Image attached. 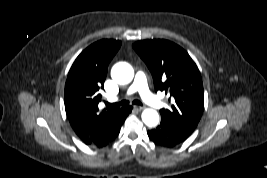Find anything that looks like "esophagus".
Listing matches in <instances>:
<instances>
[{
    "label": "esophagus",
    "mask_w": 267,
    "mask_h": 178,
    "mask_svg": "<svg viewBox=\"0 0 267 178\" xmlns=\"http://www.w3.org/2000/svg\"><path fill=\"white\" fill-rule=\"evenodd\" d=\"M145 107L143 106H134V109H136L137 111H142Z\"/></svg>",
    "instance_id": "obj_1"
}]
</instances>
